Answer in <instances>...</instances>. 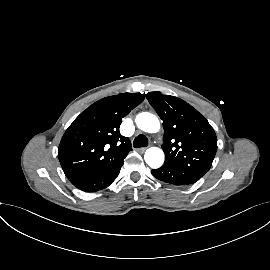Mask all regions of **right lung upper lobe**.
Returning a JSON list of instances; mask_svg holds the SVG:
<instances>
[{"instance_id": "cb5924a9", "label": "right lung upper lobe", "mask_w": 270, "mask_h": 270, "mask_svg": "<svg viewBox=\"0 0 270 270\" xmlns=\"http://www.w3.org/2000/svg\"><path fill=\"white\" fill-rule=\"evenodd\" d=\"M144 100V94L105 97L82 112L64 133L58 157L70 181L115 168L132 150L119 132L122 118Z\"/></svg>"}]
</instances>
